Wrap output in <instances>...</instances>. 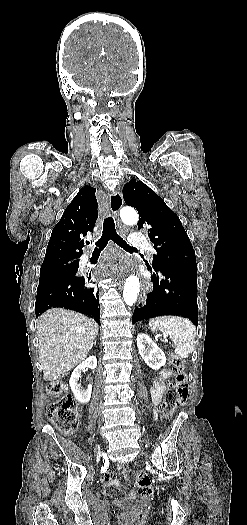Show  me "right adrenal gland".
Listing matches in <instances>:
<instances>
[{
    "instance_id": "right-adrenal-gland-1",
    "label": "right adrenal gland",
    "mask_w": 247,
    "mask_h": 525,
    "mask_svg": "<svg viewBox=\"0 0 247 525\" xmlns=\"http://www.w3.org/2000/svg\"><path fill=\"white\" fill-rule=\"evenodd\" d=\"M93 345H96V341H94V343H92V345H91V349H92Z\"/></svg>"
}]
</instances>
